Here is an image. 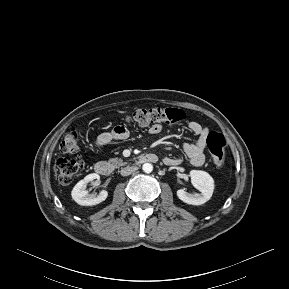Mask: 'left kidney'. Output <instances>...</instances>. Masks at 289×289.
Returning a JSON list of instances; mask_svg holds the SVG:
<instances>
[{"label":"left kidney","mask_w":289,"mask_h":289,"mask_svg":"<svg viewBox=\"0 0 289 289\" xmlns=\"http://www.w3.org/2000/svg\"><path fill=\"white\" fill-rule=\"evenodd\" d=\"M191 183L201 193L190 194L183 189L177 190V196L180 200L191 205H202L207 202L214 191V180L205 171L191 170L189 173Z\"/></svg>","instance_id":"5707ae66"}]
</instances>
